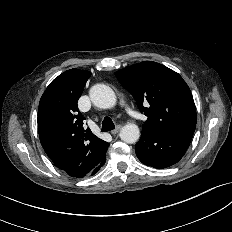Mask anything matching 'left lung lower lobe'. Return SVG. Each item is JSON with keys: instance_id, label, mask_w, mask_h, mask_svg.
Listing matches in <instances>:
<instances>
[{"instance_id": "1", "label": "left lung lower lobe", "mask_w": 232, "mask_h": 232, "mask_svg": "<svg viewBox=\"0 0 232 232\" xmlns=\"http://www.w3.org/2000/svg\"><path fill=\"white\" fill-rule=\"evenodd\" d=\"M193 134L182 132H152L142 130L135 145L138 159L157 169L174 165L184 156Z\"/></svg>"}]
</instances>
